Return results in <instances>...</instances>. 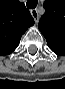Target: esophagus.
I'll list each match as a JSON object with an SVG mask.
<instances>
[{
	"label": "esophagus",
	"instance_id": "1",
	"mask_svg": "<svg viewBox=\"0 0 65 89\" xmlns=\"http://www.w3.org/2000/svg\"><path fill=\"white\" fill-rule=\"evenodd\" d=\"M31 15L33 16L35 22H38V19H39L38 10L37 9H32L31 10Z\"/></svg>",
	"mask_w": 65,
	"mask_h": 89
}]
</instances>
